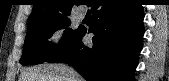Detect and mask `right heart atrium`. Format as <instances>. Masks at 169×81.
<instances>
[{
	"instance_id": "1",
	"label": "right heart atrium",
	"mask_w": 169,
	"mask_h": 81,
	"mask_svg": "<svg viewBox=\"0 0 169 81\" xmlns=\"http://www.w3.org/2000/svg\"><path fill=\"white\" fill-rule=\"evenodd\" d=\"M65 35V29L63 26L58 25L52 28L48 35L49 43L52 47H59L63 40Z\"/></svg>"
}]
</instances>
